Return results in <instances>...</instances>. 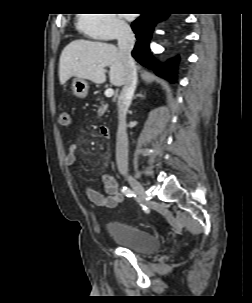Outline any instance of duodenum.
<instances>
[{
  "label": "duodenum",
  "mask_w": 252,
  "mask_h": 303,
  "mask_svg": "<svg viewBox=\"0 0 252 303\" xmlns=\"http://www.w3.org/2000/svg\"><path fill=\"white\" fill-rule=\"evenodd\" d=\"M99 130L103 138H108L110 136V129L107 125H100Z\"/></svg>",
  "instance_id": "duodenum-1"
}]
</instances>
